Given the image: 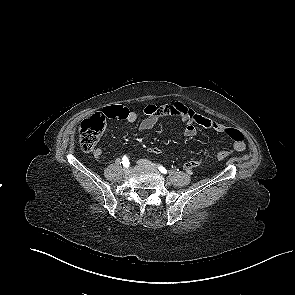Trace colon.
<instances>
[{
  "label": "colon",
  "instance_id": "colon-1",
  "mask_svg": "<svg viewBox=\"0 0 295 295\" xmlns=\"http://www.w3.org/2000/svg\"><path fill=\"white\" fill-rule=\"evenodd\" d=\"M105 126L104 116L100 114H95L85 120L82 121L80 125L79 131V142L81 148L86 151H92L95 147L103 129ZM228 136L230 139L237 144L236 151L240 152L244 149V137L243 135L237 130H230L228 132ZM150 152L152 154H157L160 152L158 148H151ZM230 152L222 151L219 152L217 157L220 160H224L229 157Z\"/></svg>",
  "mask_w": 295,
  "mask_h": 295
}]
</instances>
